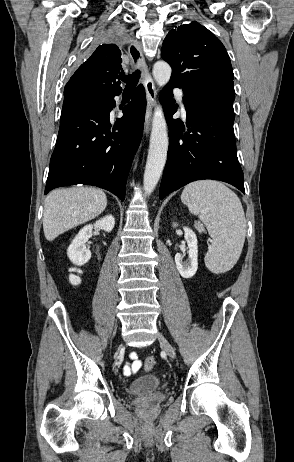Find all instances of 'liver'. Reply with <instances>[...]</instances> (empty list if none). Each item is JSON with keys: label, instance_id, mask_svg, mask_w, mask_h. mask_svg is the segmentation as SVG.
I'll return each mask as SVG.
<instances>
[{"label": "liver", "instance_id": "1", "mask_svg": "<svg viewBox=\"0 0 294 462\" xmlns=\"http://www.w3.org/2000/svg\"><path fill=\"white\" fill-rule=\"evenodd\" d=\"M106 206V195L100 189L74 187L52 191L44 204L45 238L53 241L60 234L94 219Z\"/></svg>", "mask_w": 294, "mask_h": 462}]
</instances>
